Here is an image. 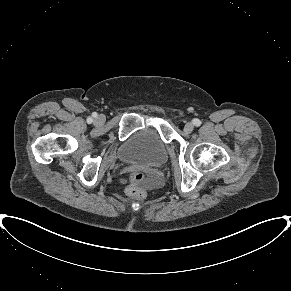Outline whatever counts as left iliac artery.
<instances>
[{
  "mask_svg": "<svg viewBox=\"0 0 291 291\" xmlns=\"http://www.w3.org/2000/svg\"><path fill=\"white\" fill-rule=\"evenodd\" d=\"M193 124L198 127L201 125V121L199 119H194Z\"/></svg>",
  "mask_w": 291,
  "mask_h": 291,
  "instance_id": "44dca946",
  "label": "left iliac artery"
}]
</instances>
